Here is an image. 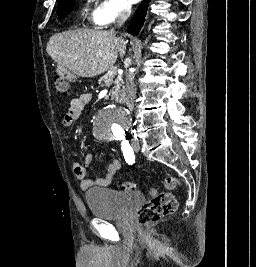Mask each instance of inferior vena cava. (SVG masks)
Returning a JSON list of instances; mask_svg holds the SVG:
<instances>
[{
    "instance_id": "602c4592",
    "label": "inferior vena cava",
    "mask_w": 256,
    "mask_h": 267,
    "mask_svg": "<svg viewBox=\"0 0 256 267\" xmlns=\"http://www.w3.org/2000/svg\"><path fill=\"white\" fill-rule=\"evenodd\" d=\"M131 14V8L129 6H123L119 18L117 20V26H123L124 22L128 20ZM112 32H114V28H112ZM135 74L134 72H127L126 74V106L130 112H133L136 100V88L134 84Z\"/></svg>"
}]
</instances>
